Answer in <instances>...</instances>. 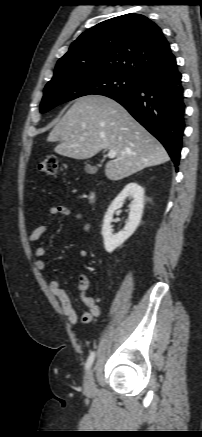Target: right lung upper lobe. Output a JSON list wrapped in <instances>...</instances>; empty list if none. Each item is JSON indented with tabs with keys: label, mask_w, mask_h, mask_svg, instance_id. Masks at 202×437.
<instances>
[{
	"label": "right lung upper lobe",
	"mask_w": 202,
	"mask_h": 437,
	"mask_svg": "<svg viewBox=\"0 0 202 437\" xmlns=\"http://www.w3.org/2000/svg\"><path fill=\"white\" fill-rule=\"evenodd\" d=\"M174 59L160 27L144 15L129 13L82 33L58 60L53 79L66 74L101 73L139 79Z\"/></svg>",
	"instance_id": "obj_1"
}]
</instances>
